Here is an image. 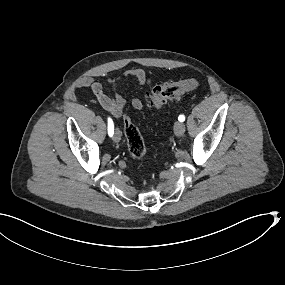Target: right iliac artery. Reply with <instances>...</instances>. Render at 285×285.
I'll return each instance as SVG.
<instances>
[{"instance_id":"1","label":"right iliac artery","mask_w":285,"mask_h":285,"mask_svg":"<svg viewBox=\"0 0 285 285\" xmlns=\"http://www.w3.org/2000/svg\"><path fill=\"white\" fill-rule=\"evenodd\" d=\"M108 134L110 137L114 134V124L111 118H108Z\"/></svg>"}]
</instances>
